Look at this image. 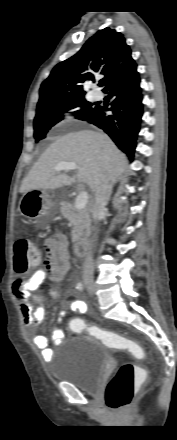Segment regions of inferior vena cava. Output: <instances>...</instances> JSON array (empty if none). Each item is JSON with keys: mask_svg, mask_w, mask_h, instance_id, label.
Instances as JSON below:
<instances>
[{"mask_svg": "<svg viewBox=\"0 0 177 440\" xmlns=\"http://www.w3.org/2000/svg\"><path fill=\"white\" fill-rule=\"evenodd\" d=\"M108 190H109L108 179L105 176L100 177L94 189L95 199L92 206V214L94 221L97 220L99 215L105 209V206L107 204ZM93 271H94L93 259L91 254H88L87 257L85 258V262L83 266V278L85 280H92Z\"/></svg>", "mask_w": 177, "mask_h": 440, "instance_id": "obj_1", "label": "inferior vena cava"}]
</instances>
